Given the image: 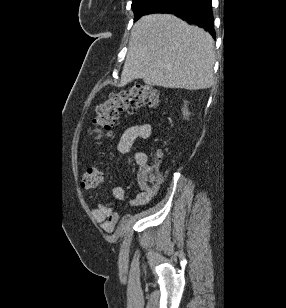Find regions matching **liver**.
I'll return each instance as SVG.
<instances>
[{
  "instance_id": "obj_1",
  "label": "liver",
  "mask_w": 286,
  "mask_h": 308,
  "mask_svg": "<svg viewBox=\"0 0 286 308\" xmlns=\"http://www.w3.org/2000/svg\"><path fill=\"white\" fill-rule=\"evenodd\" d=\"M214 62L209 33L173 15H146L132 28L120 86L142 79L164 88L207 89Z\"/></svg>"
}]
</instances>
